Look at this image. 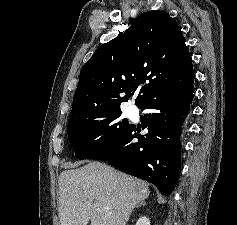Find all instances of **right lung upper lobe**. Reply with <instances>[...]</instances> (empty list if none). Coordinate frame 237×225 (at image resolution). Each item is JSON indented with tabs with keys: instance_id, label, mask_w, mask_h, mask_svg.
Segmentation results:
<instances>
[{
	"instance_id": "obj_1",
	"label": "right lung upper lobe",
	"mask_w": 237,
	"mask_h": 225,
	"mask_svg": "<svg viewBox=\"0 0 237 225\" xmlns=\"http://www.w3.org/2000/svg\"><path fill=\"white\" fill-rule=\"evenodd\" d=\"M185 42L168 13L140 15L125 33L98 47L83 66L68 124L120 110L121 103L146 81L136 98L137 106L163 85L194 82L192 58Z\"/></svg>"
}]
</instances>
